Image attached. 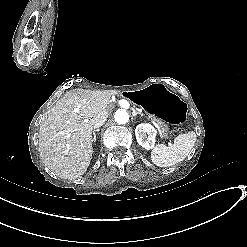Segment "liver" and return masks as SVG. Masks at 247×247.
<instances>
[{"instance_id":"1","label":"liver","mask_w":247,"mask_h":247,"mask_svg":"<svg viewBox=\"0 0 247 247\" xmlns=\"http://www.w3.org/2000/svg\"><path fill=\"white\" fill-rule=\"evenodd\" d=\"M109 97L102 91L73 89L42 116L40 159L56 176L73 180L83 175L92 159V130L108 117ZM79 108L78 112L74 110Z\"/></svg>"}]
</instances>
